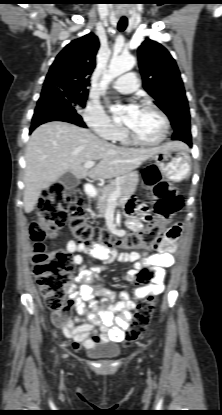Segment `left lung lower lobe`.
I'll use <instances>...</instances> for the list:
<instances>
[{
	"instance_id": "left-lung-lower-lobe-1",
	"label": "left lung lower lobe",
	"mask_w": 222,
	"mask_h": 415,
	"mask_svg": "<svg viewBox=\"0 0 222 415\" xmlns=\"http://www.w3.org/2000/svg\"><path fill=\"white\" fill-rule=\"evenodd\" d=\"M172 139L183 141L190 147H192L190 126H185L180 129L174 130Z\"/></svg>"
}]
</instances>
